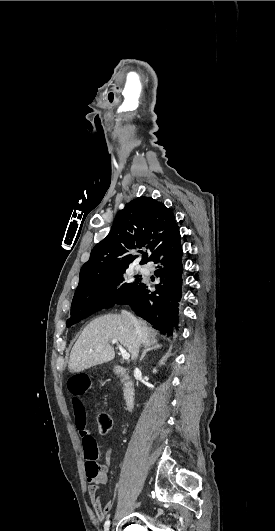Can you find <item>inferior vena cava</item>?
<instances>
[{
    "instance_id": "inferior-vena-cava-1",
    "label": "inferior vena cava",
    "mask_w": 275,
    "mask_h": 531,
    "mask_svg": "<svg viewBox=\"0 0 275 531\" xmlns=\"http://www.w3.org/2000/svg\"><path fill=\"white\" fill-rule=\"evenodd\" d=\"M122 315H126V317H128L130 323H132L133 327H134V333L137 337L136 341H137V345H140V337H141V327H140V323H138L137 319H135V317H133V315H130V313H126V311H122ZM139 351H137V355H138ZM136 355V357H137Z\"/></svg>"
}]
</instances>
